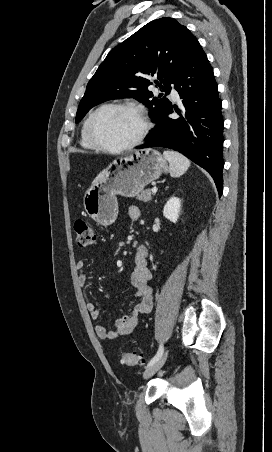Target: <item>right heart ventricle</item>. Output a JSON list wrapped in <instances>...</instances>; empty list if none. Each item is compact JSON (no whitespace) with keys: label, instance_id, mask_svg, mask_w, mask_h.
Here are the masks:
<instances>
[{"label":"right heart ventricle","instance_id":"right-heart-ventricle-1","mask_svg":"<svg viewBox=\"0 0 272 452\" xmlns=\"http://www.w3.org/2000/svg\"><path fill=\"white\" fill-rule=\"evenodd\" d=\"M86 121H87V119H85V121L83 122L82 128H81L80 145L87 150H96L97 148L94 147L87 138L86 131H85Z\"/></svg>","mask_w":272,"mask_h":452}]
</instances>
